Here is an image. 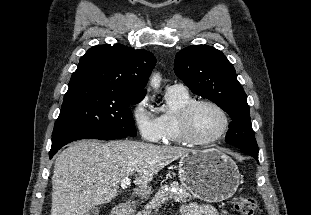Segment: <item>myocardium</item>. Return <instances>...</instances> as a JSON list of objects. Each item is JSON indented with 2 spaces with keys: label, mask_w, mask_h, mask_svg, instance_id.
<instances>
[{
  "label": "myocardium",
  "mask_w": 311,
  "mask_h": 215,
  "mask_svg": "<svg viewBox=\"0 0 311 215\" xmlns=\"http://www.w3.org/2000/svg\"><path fill=\"white\" fill-rule=\"evenodd\" d=\"M201 105H209L214 107L220 112L223 118V125L221 130L216 135L208 139L197 138L192 130L193 114L195 110ZM178 123L183 142L193 146H205L218 141L227 132L229 128V117L225 109L215 101L201 99L191 101L180 110L178 114Z\"/></svg>",
  "instance_id": "myocardium-1"
}]
</instances>
